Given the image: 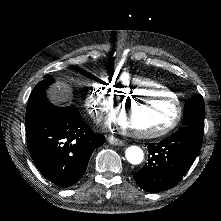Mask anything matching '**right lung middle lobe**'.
Listing matches in <instances>:
<instances>
[{
  "label": "right lung middle lobe",
  "instance_id": "obj_1",
  "mask_svg": "<svg viewBox=\"0 0 221 221\" xmlns=\"http://www.w3.org/2000/svg\"><path fill=\"white\" fill-rule=\"evenodd\" d=\"M54 82L51 75H45L44 79L37 83L32 90L26 110L25 124L29 122L53 115L76 114L73 106L67 108H58L52 105L46 98V89Z\"/></svg>",
  "mask_w": 221,
  "mask_h": 221
}]
</instances>
